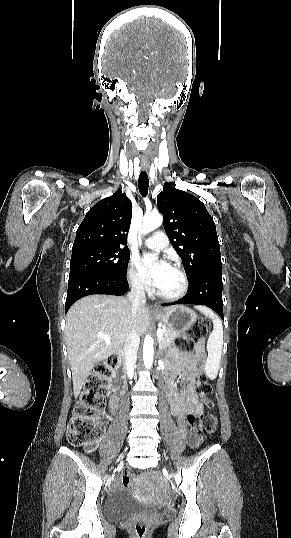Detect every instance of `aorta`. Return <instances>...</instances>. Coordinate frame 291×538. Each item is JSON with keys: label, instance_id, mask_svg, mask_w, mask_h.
I'll list each match as a JSON object with an SVG mask.
<instances>
[{"label": "aorta", "instance_id": "1", "mask_svg": "<svg viewBox=\"0 0 291 538\" xmlns=\"http://www.w3.org/2000/svg\"><path fill=\"white\" fill-rule=\"evenodd\" d=\"M163 218L161 214L157 212H151L146 214L143 219L142 232L148 234L154 229L158 228L162 224ZM154 355V340L151 336L147 335L143 344V361L147 369H150L153 364Z\"/></svg>", "mask_w": 291, "mask_h": 538}]
</instances>
